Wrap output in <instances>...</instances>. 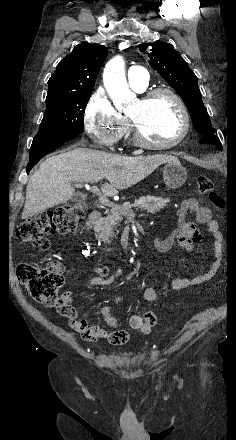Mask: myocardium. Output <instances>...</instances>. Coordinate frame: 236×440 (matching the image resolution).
<instances>
[{
	"label": "myocardium",
	"instance_id": "1",
	"mask_svg": "<svg viewBox=\"0 0 236 440\" xmlns=\"http://www.w3.org/2000/svg\"><path fill=\"white\" fill-rule=\"evenodd\" d=\"M163 94L168 95L169 97H171L173 99V101L175 102V104L178 107V110H179L181 118H182V130H181L180 134L177 136V138L174 139L173 141H171L169 143H165V144H156V143H152V142L148 141L144 137L137 122L131 116L128 117L129 126L131 129L132 135H133L134 142L138 146L145 148V149H148V150L171 149V148L179 145L182 141H184V139L188 136V133L190 130V116H189L188 109H187L184 101L182 100V98L173 89L168 88V87L153 88L151 90L144 92L140 97V101L143 103H146V102H149L154 97L159 96V95H163Z\"/></svg>",
	"mask_w": 236,
	"mask_h": 440
}]
</instances>
